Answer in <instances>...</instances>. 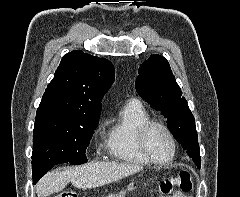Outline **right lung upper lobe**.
Here are the masks:
<instances>
[{"label":"right lung upper lobe","instance_id":"obj_1","mask_svg":"<svg viewBox=\"0 0 240 197\" xmlns=\"http://www.w3.org/2000/svg\"><path fill=\"white\" fill-rule=\"evenodd\" d=\"M114 78L109 60L72 51L62 58L36 114L100 116L101 100Z\"/></svg>","mask_w":240,"mask_h":197}]
</instances>
